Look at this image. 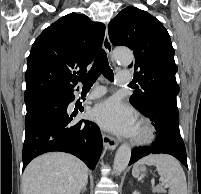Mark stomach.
Masks as SVG:
<instances>
[{
    "label": "stomach",
    "mask_w": 201,
    "mask_h": 194,
    "mask_svg": "<svg viewBox=\"0 0 201 194\" xmlns=\"http://www.w3.org/2000/svg\"><path fill=\"white\" fill-rule=\"evenodd\" d=\"M145 170H146V168H145L144 166L138 167L139 174H140V173H144Z\"/></svg>",
    "instance_id": "0dacf381"
}]
</instances>
